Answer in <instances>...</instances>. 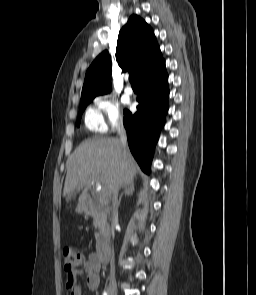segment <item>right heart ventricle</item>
Masks as SVG:
<instances>
[{
	"label": "right heart ventricle",
	"instance_id": "obj_1",
	"mask_svg": "<svg viewBox=\"0 0 256 295\" xmlns=\"http://www.w3.org/2000/svg\"><path fill=\"white\" fill-rule=\"evenodd\" d=\"M85 125L88 130L93 132H100L103 130L100 119L96 113V111L92 108L88 109L85 116Z\"/></svg>",
	"mask_w": 256,
	"mask_h": 295
}]
</instances>
